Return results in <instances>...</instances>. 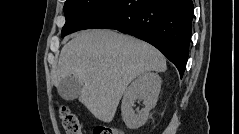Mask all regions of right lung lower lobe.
I'll return each instance as SVG.
<instances>
[{
    "instance_id": "98d812e1",
    "label": "right lung lower lobe",
    "mask_w": 239,
    "mask_h": 134,
    "mask_svg": "<svg viewBox=\"0 0 239 134\" xmlns=\"http://www.w3.org/2000/svg\"><path fill=\"white\" fill-rule=\"evenodd\" d=\"M192 0H116L83 29L107 28L130 34L160 50L183 76L188 59Z\"/></svg>"
}]
</instances>
